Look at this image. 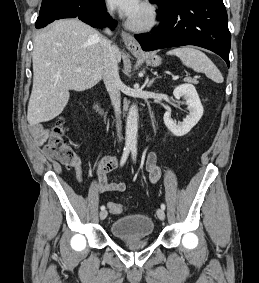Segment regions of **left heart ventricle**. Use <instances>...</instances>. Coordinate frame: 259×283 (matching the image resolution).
Returning <instances> with one entry per match:
<instances>
[{"instance_id":"b2bd125f","label":"left heart ventricle","mask_w":259,"mask_h":283,"mask_svg":"<svg viewBox=\"0 0 259 283\" xmlns=\"http://www.w3.org/2000/svg\"><path fill=\"white\" fill-rule=\"evenodd\" d=\"M146 18V13L143 7H141L139 9V11L137 12V14L132 18L133 21L140 23L143 22Z\"/></svg>"}]
</instances>
